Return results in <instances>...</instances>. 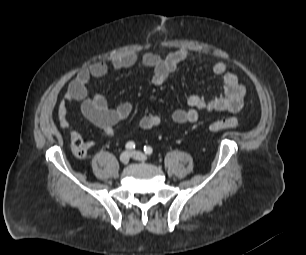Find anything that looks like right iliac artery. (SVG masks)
Here are the masks:
<instances>
[{
    "mask_svg": "<svg viewBox=\"0 0 306 255\" xmlns=\"http://www.w3.org/2000/svg\"><path fill=\"white\" fill-rule=\"evenodd\" d=\"M126 149L128 150H133L135 148V143L133 141H129L127 142V144L125 145Z\"/></svg>",
    "mask_w": 306,
    "mask_h": 255,
    "instance_id": "obj_1",
    "label": "right iliac artery"
}]
</instances>
